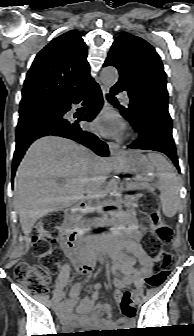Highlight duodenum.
<instances>
[{
    "mask_svg": "<svg viewBox=\"0 0 194 336\" xmlns=\"http://www.w3.org/2000/svg\"><path fill=\"white\" fill-rule=\"evenodd\" d=\"M87 209L86 204L80 202L69 208L63 222V252L77 264L93 266L95 256L99 253L98 249H92L82 237L79 222L82 213ZM92 237L91 240H95Z\"/></svg>",
    "mask_w": 194,
    "mask_h": 336,
    "instance_id": "duodenum-1",
    "label": "duodenum"
}]
</instances>
